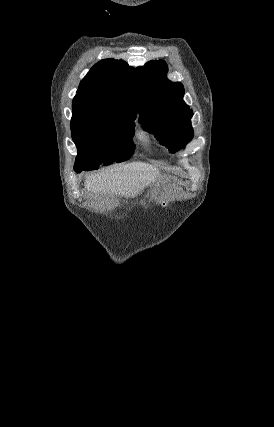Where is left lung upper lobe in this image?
I'll return each mask as SVG.
<instances>
[{"label": "left lung upper lobe", "instance_id": "left-lung-upper-lobe-1", "mask_svg": "<svg viewBox=\"0 0 274 427\" xmlns=\"http://www.w3.org/2000/svg\"><path fill=\"white\" fill-rule=\"evenodd\" d=\"M164 61H150L136 68L132 80V100L143 127L154 133L161 144L176 152L193 137L192 110L182 98L180 82L167 79Z\"/></svg>", "mask_w": 274, "mask_h": 427}]
</instances>
